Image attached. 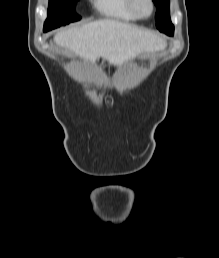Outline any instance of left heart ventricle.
I'll return each instance as SVG.
<instances>
[{"mask_svg": "<svg viewBox=\"0 0 219 258\" xmlns=\"http://www.w3.org/2000/svg\"><path fill=\"white\" fill-rule=\"evenodd\" d=\"M138 8L140 12L143 14H148L150 11V7L147 0H138Z\"/></svg>", "mask_w": 219, "mask_h": 258, "instance_id": "1", "label": "left heart ventricle"}]
</instances>
